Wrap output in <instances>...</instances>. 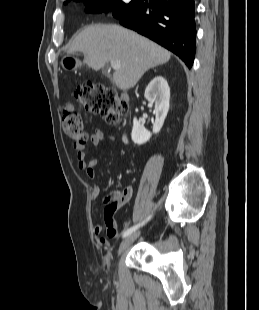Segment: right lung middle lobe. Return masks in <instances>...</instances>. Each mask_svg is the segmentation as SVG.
<instances>
[{
  "label": "right lung middle lobe",
  "instance_id": "right-lung-middle-lobe-1",
  "mask_svg": "<svg viewBox=\"0 0 259 310\" xmlns=\"http://www.w3.org/2000/svg\"><path fill=\"white\" fill-rule=\"evenodd\" d=\"M80 1V0H77ZM85 4L90 5L86 8L88 12L99 13L102 11L111 10L112 14L116 18H120L124 13L128 12L136 3L132 1L130 3H124L121 0H83ZM69 1L65 2L67 4Z\"/></svg>",
  "mask_w": 259,
  "mask_h": 310
}]
</instances>
